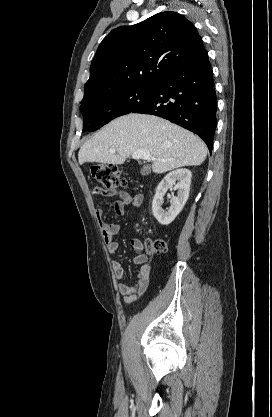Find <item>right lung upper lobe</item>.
I'll use <instances>...</instances> for the list:
<instances>
[{
    "mask_svg": "<svg viewBox=\"0 0 272 417\" xmlns=\"http://www.w3.org/2000/svg\"><path fill=\"white\" fill-rule=\"evenodd\" d=\"M204 49L194 25L172 11L112 30L100 43L84 98L156 84Z\"/></svg>",
    "mask_w": 272,
    "mask_h": 417,
    "instance_id": "1",
    "label": "right lung upper lobe"
}]
</instances>
